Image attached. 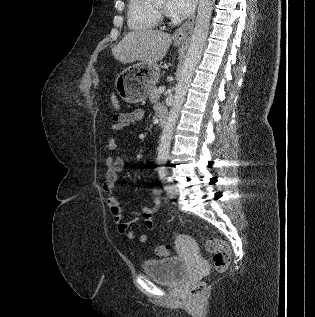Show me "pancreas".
I'll return each mask as SVG.
<instances>
[{
	"instance_id": "cf45deb5",
	"label": "pancreas",
	"mask_w": 315,
	"mask_h": 317,
	"mask_svg": "<svg viewBox=\"0 0 315 317\" xmlns=\"http://www.w3.org/2000/svg\"><path fill=\"white\" fill-rule=\"evenodd\" d=\"M161 93L159 92V89L156 88V86L152 87L150 91V102L151 103H156L157 100L160 98Z\"/></svg>"
}]
</instances>
